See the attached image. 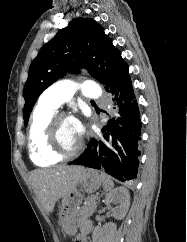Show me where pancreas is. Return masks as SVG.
<instances>
[{"instance_id":"obj_1","label":"pancreas","mask_w":187,"mask_h":242,"mask_svg":"<svg viewBox=\"0 0 187 242\" xmlns=\"http://www.w3.org/2000/svg\"><path fill=\"white\" fill-rule=\"evenodd\" d=\"M98 197L97 196H89L86 198L84 206L82 207V209L79 212L80 216L83 217H88L91 216L97 207V201Z\"/></svg>"}]
</instances>
